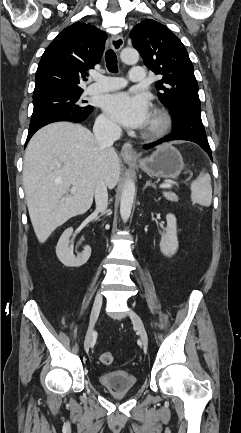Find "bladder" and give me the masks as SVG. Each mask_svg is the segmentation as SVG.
Listing matches in <instances>:
<instances>
[{"label": "bladder", "mask_w": 241, "mask_h": 433, "mask_svg": "<svg viewBox=\"0 0 241 433\" xmlns=\"http://www.w3.org/2000/svg\"><path fill=\"white\" fill-rule=\"evenodd\" d=\"M100 384L113 393L132 390L137 385L136 377L126 371H110L99 375Z\"/></svg>", "instance_id": "31cf9c89"}]
</instances>
